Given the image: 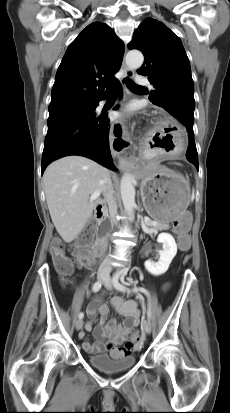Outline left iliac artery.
I'll return each mask as SVG.
<instances>
[{
  "mask_svg": "<svg viewBox=\"0 0 230 413\" xmlns=\"http://www.w3.org/2000/svg\"><path fill=\"white\" fill-rule=\"evenodd\" d=\"M124 276H125V272H124V271L117 272V273L114 275V277H113V285H114V287H115L117 290H119V291H121V292H130V289H128L126 286L122 285V284L119 282V279H122ZM132 292H142V293H144L147 297H149L148 291H147L146 289L142 288V287H138V288L136 287V288H134V289L132 290ZM147 316H148V318L150 319V317H151L150 310L147 311Z\"/></svg>",
  "mask_w": 230,
  "mask_h": 413,
  "instance_id": "1",
  "label": "left iliac artery"
}]
</instances>
